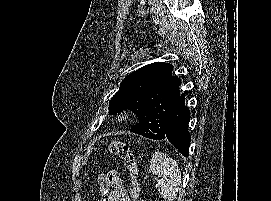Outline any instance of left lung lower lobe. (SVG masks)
<instances>
[{
	"label": "left lung lower lobe",
	"instance_id": "obj_1",
	"mask_svg": "<svg viewBox=\"0 0 271 201\" xmlns=\"http://www.w3.org/2000/svg\"><path fill=\"white\" fill-rule=\"evenodd\" d=\"M185 94L180 93L178 100L173 107L169 124L165 135L161 139L169 140L174 147L188 157L189 145L191 141L190 133L188 132V122L190 118V111L184 104ZM143 128L136 124L131 127L130 131L140 134Z\"/></svg>",
	"mask_w": 271,
	"mask_h": 201
}]
</instances>
